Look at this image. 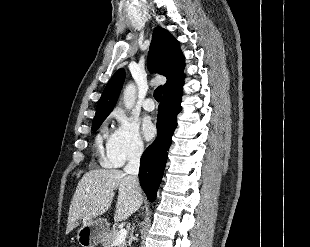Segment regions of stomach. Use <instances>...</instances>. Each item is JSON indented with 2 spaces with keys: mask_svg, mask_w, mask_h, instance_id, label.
I'll return each mask as SVG.
<instances>
[{
  "mask_svg": "<svg viewBox=\"0 0 310 247\" xmlns=\"http://www.w3.org/2000/svg\"><path fill=\"white\" fill-rule=\"evenodd\" d=\"M107 231L108 223L105 220L93 218L82 222L76 238L81 247H95Z\"/></svg>",
  "mask_w": 310,
  "mask_h": 247,
  "instance_id": "1",
  "label": "stomach"
}]
</instances>
